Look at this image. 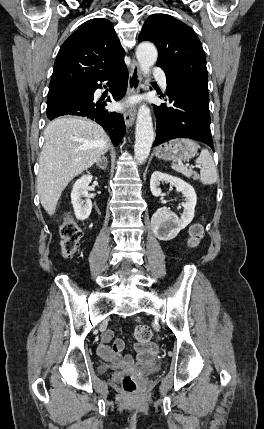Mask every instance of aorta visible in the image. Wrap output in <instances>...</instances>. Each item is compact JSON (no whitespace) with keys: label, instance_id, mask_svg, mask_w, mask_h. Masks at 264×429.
Here are the masks:
<instances>
[{"label":"aorta","instance_id":"1","mask_svg":"<svg viewBox=\"0 0 264 429\" xmlns=\"http://www.w3.org/2000/svg\"><path fill=\"white\" fill-rule=\"evenodd\" d=\"M157 49L150 42H141L136 49V57L144 76L157 60ZM154 140L152 117L147 105H140L137 113L134 154L139 163L146 161Z\"/></svg>","mask_w":264,"mask_h":429}]
</instances>
